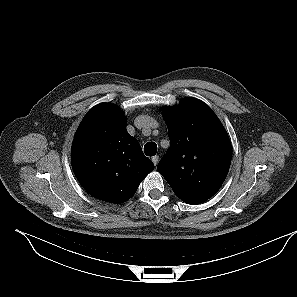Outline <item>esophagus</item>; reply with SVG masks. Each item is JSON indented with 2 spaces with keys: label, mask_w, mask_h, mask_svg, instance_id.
<instances>
[{
  "label": "esophagus",
  "mask_w": 297,
  "mask_h": 297,
  "mask_svg": "<svg viewBox=\"0 0 297 297\" xmlns=\"http://www.w3.org/2000/svg\"><path fill=\"white\" fill-rule=\"evenodd\" d=\"M158 161H159V156L156 155V156L152 157V162L154 163L155 166H157Z\"/></svg>",
  "instance_id": "1"
}]
</instances>
